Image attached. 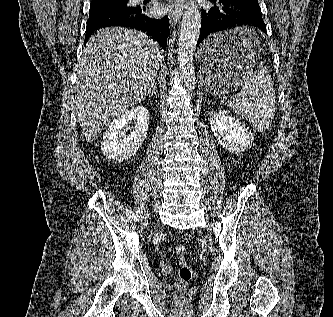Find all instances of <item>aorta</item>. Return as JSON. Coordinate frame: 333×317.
<instances>
[{"instance_id":"762f6f07","label":"aorta","mask_w":333,"mask_h":317,"mask_svg":"<svg viewBox=\"0 0 333 317\" xmlns=\"http://www.w3.org/2000/svg\"><path fill=\"white\" fill-rule=\"evenodd\" d=\"M201 29V13L194 3L186 7L178 40L177 58L184 86L189 92L195 89L193 55Z\"/></svg>"}]
</instances>
